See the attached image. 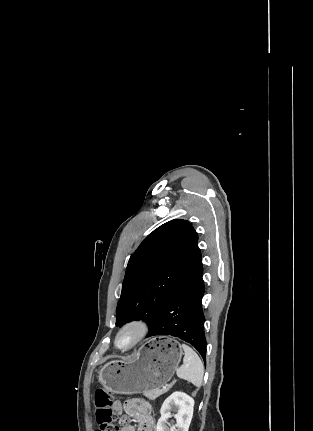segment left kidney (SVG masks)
<instances>
[{
	"label": "left kidney",
	"mask_w": 313,
	"mask_h": 431,
	"mask_svg": "<svg viewBox=\"0 0 313 431\" xmlns=\"http://www.w3.org/2000/svg\"><path fill=\"white\" fill-rule=\"evenodd\" d=\"M194 408V399L183 392L172 393L162 404L161 417L157 422L156 431H188ZM176 414L172 415L171 410ZM174 416L175 426L168 427L167 420Z\"/></svg>",
	"instance_id": "left-kidney-1"
}]
</instances>
